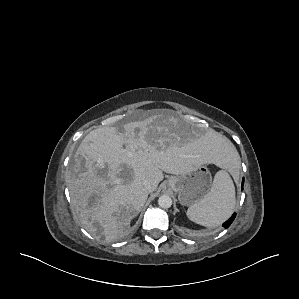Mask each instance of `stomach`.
<instances>
[{
    "label": "stomach",
    "mask_w": 299,
    "mask_h": 299,
    "mask_svg": "<svg viewBox=\"0 0 299 299\" xmlns=\"http://www.w3.org/2000/svg\"><path fill=\"white\" fill-rule=\"evenodd\" d=\"M167 185L178 194L181 205L192 206L210 192L212 177L207 166L201 165L189 173L170 176Z\"/></svg>",
    "instance_id": "0dacf381"
}]
</instances>
